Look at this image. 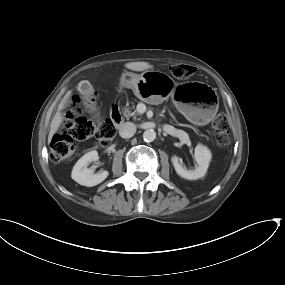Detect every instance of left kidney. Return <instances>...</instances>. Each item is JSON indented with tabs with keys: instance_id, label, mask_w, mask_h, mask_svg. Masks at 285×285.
I'll use <instances>...</instances> for the list:
<instances>
[{
	"instance_id": "5707ae66",
	"label": "left kidney",
	"mask_w": 285,
	"mask_h": 285,
	"mask_svg": "<svg viewBox=\"0 0 285 285\" xmlns=\"http://www.w3.org/2000/svg\"><path fill=\"white\" fill-rule=\"evenodd\" d=\"M194 157L197 162V166L194 170H187L185 167L182 166L179 157L175 155L172 156L171 161L173 163L176 173L179 176L188 180H197L199 178H202L206 174L209 162L212 157L211 151L206 146L198 144L195 147Z\"/></svg>"
}]
</instances>
